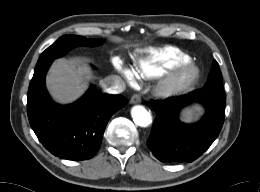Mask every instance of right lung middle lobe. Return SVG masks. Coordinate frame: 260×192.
I'll return each mask as SVG.
<instances>
[{
    "instance_id": "dd1d6c3e",
    "label": "right lung middle lobe",
    "mask_w": 260,
    "mask_h": 192,
    "mask_svg": "<svg viewBox=\"0 0 260 192\" xmlns=\"http://www.w3.org/2000/svg\"><path fill=\"white\" fill-rule=\"evenodd\" d=\"M103 43L102 39H87L83 36L64 35L60 37L55 43L48 47L39 57L36 67L44 63L52 62L54 59L62 57L70 49L84 45V46H97Z\"/></svg>"
}]
</instances>
